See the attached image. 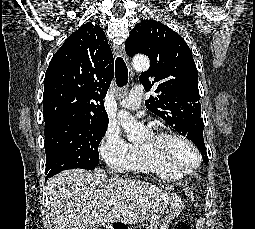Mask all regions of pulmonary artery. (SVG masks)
<instances>
[{
	"label": "pulmonary artery",
	"mask_w": 255,
	"mask_h": 229,
	"mask_svg": "<svg viewBox=\"0 0 255 229\" xmlns=\"http://www.w3.org/2000/svg\"><path fill=\"white\" fill-rule=\"evenodd\" d=\"M143 97V88L141 85H135L127 97L120 101V105L127 109L136 110L140 107Z\"/></svg>",
	"instance_id": "pulmonary-artery-1"
}]
</instances>
